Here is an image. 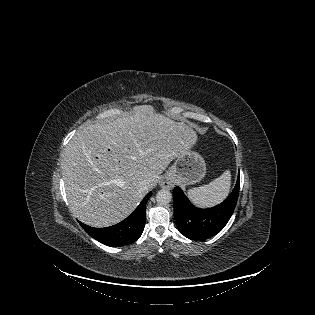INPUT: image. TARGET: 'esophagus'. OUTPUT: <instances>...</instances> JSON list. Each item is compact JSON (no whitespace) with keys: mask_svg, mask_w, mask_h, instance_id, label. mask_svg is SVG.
Returning a JSON list of instances; mask_svg holds the SVG:
<instances>
[{"mask_svg":"<svg viewBox=\"0 0 315 315\" xmlns=\"http://www.w3.org/2000/svg\"><path fill=\"white\" fill-rule=\"evenodd\" d=\"M160 186H161L162 188L171 189V188L173 187V184H172V182H170V181H168V180H165V181H162V182L160 183Z\"/></svg>","mask_w":315,"mask_h":315,"instance_id":"esophagus-1","label":"esophagus"}]
</instances>
